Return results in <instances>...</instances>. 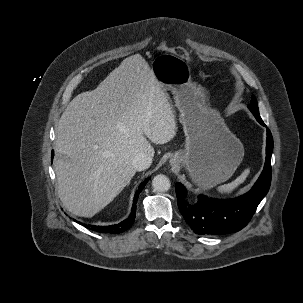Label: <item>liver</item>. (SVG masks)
I'll return each instance as SVG.
<instances>
[{"label": "liver", "mask_w": 303, "mask_h": 303, "mask_svg": "<svg viewBox=\"0 0 303 303\" xmlns=\"http://www.w3.org/2000/svg\"><path fill=\"white\" fill-rule=\"evenodd\" d=\"M175 115L146 60L124 59L92 91L78 94L57 127L54 162L57 189L65 208L93 217L129 184L137 153L154 156L155 144L171 141ZM148 138V140H147Z\"/></svg>", "instance_id": "1"}]
</instances>
